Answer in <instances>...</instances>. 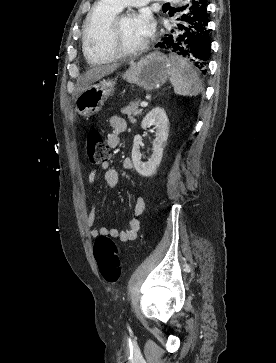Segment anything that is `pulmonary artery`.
<instances>
[{"label": "pulmonary artery", "instance_id": "obj_1", "mask_svg": "<svg viewBox=\"0 0 276 363\" xmlns=\"http://www.w3.org/2000/svg\"><path fill=\"white\" fill-rule=\"evenodd\" d=\"M116 3L120 8L125 6H142L152 0H111ZM156 1H169V0H156Z\"/></svg>", "mask_w": 276, "mask_h": 363}]
</instances>
